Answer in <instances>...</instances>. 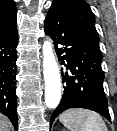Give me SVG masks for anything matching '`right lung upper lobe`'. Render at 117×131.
I'll return each mask as SVG.
<instances>
[{
    "label": "right lung upper lobe",
    "mask_w": 117,
    "mask_h": 131,
    "mask_svg": "<svg viewBox=\"0 0 117 131\" xmlns=\"http://www.w3.org/2000/svg\"><path fill=\"white\" fill-rule=\"evenodd\" d=\"M17 10L13 0H0V37L14 30Z\"/></svg>",
    "instance_id": "1"
}]
</instances>
